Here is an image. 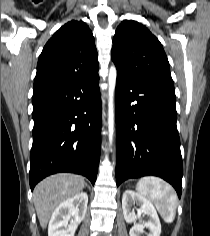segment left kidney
I'll return each mask as SVG.
<instances>
[{"label":"left kidney","mask_w":210,"mask_h":236,"mask_svg":"<svg viewBox=\"0 0 210 236\" xmlns=\"http://www.w3.org/2000/svg\"><path fill=\"white\" fill-rule=\"evenodd\" d=\"M132 204L139 206L137 214L134 209H131ZM122 210L127 223L134 222L137 218H140L141 215H147L149 218L146 222L140 221V223L135 224L130 229V236H141V234L144 233L145 227L149 230L147 236H160L161 224L156 209L150 201L140 194L132 190H126L122 197Z\"/></svg>","instance_id":"1"}]
</instances>
